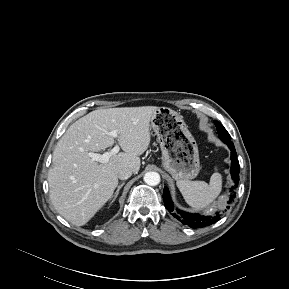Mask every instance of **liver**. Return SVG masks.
<instances>
[{
    "instance_id": "6515ba94",
    "label": "liver",
    "mask_w": 289,
    "mask_h": 289,
    "mask_svg": "<svg viewBox=\"0 0 289 289\" xmlns=\"http://www.w3.org/2000/svg\"><path fill=\"white\" fill-rule=\"evenodd\" d=\"M157 107H124L90 112L74 122L59 139L48 172L49 195L56 211L75 226L85 225L112 197L118 173L140 169L139 155L150 145V121ZM124 152L107 163L92 161L88 153L114 144Z\"/></svg>"
}]
</instances>
